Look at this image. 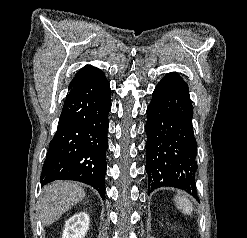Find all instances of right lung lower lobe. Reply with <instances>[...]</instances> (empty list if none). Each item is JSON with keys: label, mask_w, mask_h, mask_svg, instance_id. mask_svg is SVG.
Segmentation results:
<instances>
[{"label": "right lung lower lobe", "mask_w": 247, "mask_h": 238, "mask_svg": "<svg viewBox=\"0 0 247 238\" xmlns=\"http://www.w3.org/2000/svg\"><path fill=\"white\" fill-rule=\"evenodd\" d=\"M110 110V84L95 68L66 97L43 166L42 185L54 180L80 181L94 187L104 199Z\"/></svg>", "instance_id": "right-lung-lower-lobe-1"}]
</instances>
